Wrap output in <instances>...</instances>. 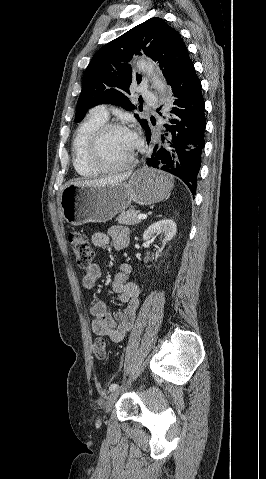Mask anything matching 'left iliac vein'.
Segmentation results:
<instances>
[{
    "instance_id": "4c4485c4",
    "label": "left iliac vein",
    "mask_w": 266,
    "mask_h": 479,
    "mask_svg": "<svg viewBox=\"0 0 266 479\" xmlns=\"http://www.w3.org/2000/svg\"><path fill=\"white\" fill-rule=\"evenodd\" d=\"M119 395H120V390L119 389H116L109 394V396L107 398V401H106V404H105V411L107 413L110 412V410L112 409L116 400L118 399Z\"/></svg>"
}]
</instances>
